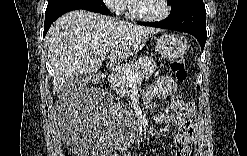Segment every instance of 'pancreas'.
I'll list each match as a JSON object with an SVG mask.
<instances>
[{"mask_svg":"<svg viewBox=\"0 0 247 156\" xmlns=\"http://www.w3.org/2000/svg\"><path fill=\"white\" fill-rule=\"evenodd\" d=\"M125 68H129L132 72L138 73L139 80H147L154 73L157 65L151 57H144L137 60L135 63L127 64ZM109 80L112 83L113 90L120 95H129L130 79L127 75L114 72Z\"/></svg>","mask_w":247,"mask_h":156,"instance_id":"pancreas-1","label":"pancreas"}]
</instances>
